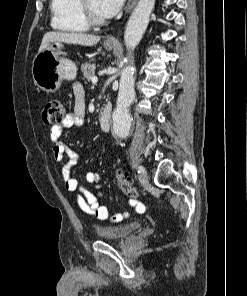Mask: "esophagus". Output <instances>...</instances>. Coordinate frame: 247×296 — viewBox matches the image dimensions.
Instances as JSON below:
<instances>
[{
	"instance_id": "esophagus-1",
	"label": "esophagus",
	"mask_w": 247,
	"mask_h": 296,
	"mask_svg": "<svg viewBox=\"0 0 247 296\" xmlns=\"http://www.w3.org/2000/svg\"><path fill=\"white\" fill-rule=\"evenodd\" d=\"M137 1L138 0H129L128 1L127 6H126V10H125L126 14L130 13V11L136 5ZM105 41H106V43L113 44V43H116L117 40L114 35H109L106 37Z\"/></svg>"
}]
</instances>
